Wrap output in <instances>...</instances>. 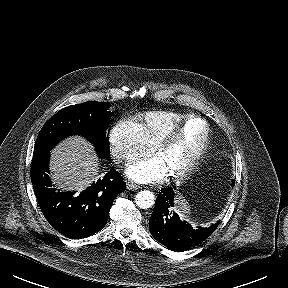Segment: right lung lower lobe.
Returning <instances> with one entry per match:
<instances>
[{
  "label": "right lung lower lobe",
  "mask_w": 288,
  "mask_h": 288,
  "mask_svg": "<svg viewBox=\"0 0 288 288\" xmlns=\"http://www.w3.org/2000/svg\"><path fill=\"white\" fill-rule=\"evenodd\" d=\"M49 151L33 154L31 181L41 211L50 225L70 238H84L103 229L115 197L126 190L123 177L110 169L86 190L60 192L48 176Z\"/></svg>",
  "instance_id": "obj_1"
}]
</instances>
